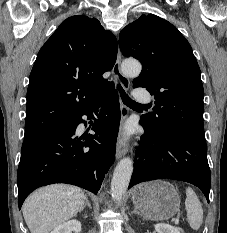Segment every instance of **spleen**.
I'll list each match as a JSON object with an SVG mask.
<instances>
[{
    "label": "spleen",
    "mask_w": 227,
    "mask_h": 233,
    "mask_svg": "<svg viewBox=\"0 0 227 233\" xmlns=\"http://www.w3.org/2000/svg\"><path fill=\"white\" fill-rule=\"evenodd\" d=\"M185 208L190 227L198 230L203 222V209L197 195L190 187L186 188Z\"/></svg>",
    "instance_id": "spleen-1"
}]
</instances>
